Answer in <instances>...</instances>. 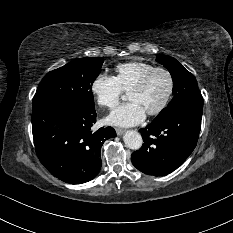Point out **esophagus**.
<instances>
[{
	"mask_svg": "<svg viewBox=\"0 0 233 233\" xmlns=\"http://www.w3.org/2000/svg\"><path fill=\"white\" fill-rule=\"evenodd\" d=\"M116 133L118 136H121L124 133V130L121 128H116Z\"/></svg>",
	"mask_w": 233,
	"mask_h": 233,
	"instance_id": "34e87169",
	"label": "esophagus"
}]
</instances>
